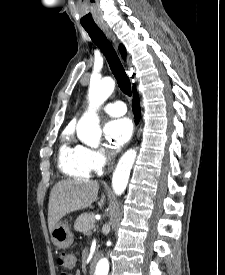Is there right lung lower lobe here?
I'll return each mask as SVG.
<instances>
[{
  "label": "right lung lower lobe",
  "mask_w": 225,
  "mask_h": 275,
  "mask_svg": "<svg viewBox=\"0 0 225 275\" xmlns=\"http://www.w3.org/2000/svg\"><path fill=\"white\" fill-rule=\"evenodd\" d=\"M132 108H133V113L135 115V122L138 123L140 119V105H139V97L135 87L133 88Z\"/></svg>",
  "instance_id": "98d812e1"
}]
</instances>
